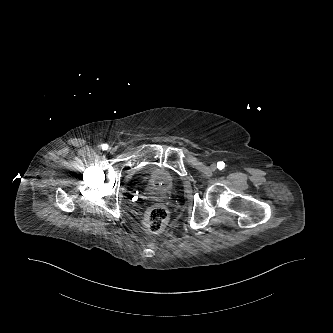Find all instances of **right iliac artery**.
<instances>
[{"instance_id": "1", "label": "right iliac artery", "mask_w": 333, "mask_h": 333, "mask_svg": "<svg viewBox=\"0 0 333 333\" xmlns=\"http://www.w3.org/2000/svg\"><path fill=\"white\" fill-rule=\"evenodd\" d=\"M101 147L103 150H107L109 146H108V144H102Z\"/></svg>"}]
</instances>
